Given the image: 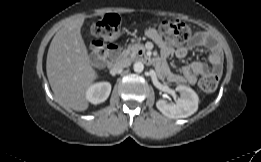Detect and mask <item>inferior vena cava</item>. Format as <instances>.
I'll return each mask as SVG.
<instances>
[{
    "mask_svg": "<svg viewBox=\"0 0 261 162\" xmlns=\"http://www.w3.org/2000/svg\"><path fill=\"white\" fill-rule=\"evenodd\" d=\"M130 64H131V61L129 59H123V60H120L117 63H115L113 66V69L115 71H119V70H122L123 68L130 66Z\"/></svg>",
    "mask_w": 261,
    "mask_h": 162,
    "instance_id": "obj_1",
    "label": "inferior vena cava"
}]
</instances>
